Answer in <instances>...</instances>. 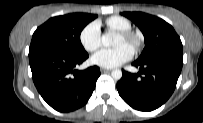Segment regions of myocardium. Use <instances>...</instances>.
<instances>
[{
	"label": "myocardium",
	"mask_w": 203,
	"mask_h": 123,
	"mask_svg": "<svg viewBox=\"0 0 203 123\" xmlns=\"http://www.w3.org/2000/svg\"><path fill=\"white\" fill-rule=\"evenodd\" d=\"M118 34L127 42L131 44V48L134 52L138 51L142 45L141 37L134 31H119Z\"/></svg>",
	"instance_id": "1"
}]
</instances>
